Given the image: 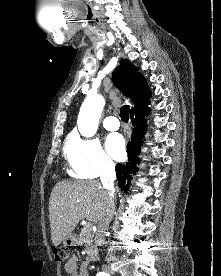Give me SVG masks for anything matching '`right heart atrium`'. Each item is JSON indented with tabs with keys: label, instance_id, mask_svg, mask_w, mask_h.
Here are the masks:
<instances>
[{
	"label": "right heart atrium",
	"instance_id": "obj_1",
	"mask_svg": "<svg viewBox=\"0 0 221 276\" xmlns=\"http://www.w3.org/2000/svg\"><path fill=\"white\" fill-rule=\"evenodd\" d=\"M66 157L71 174L76 178H96L114 170V163L95 139H72L68 144Z\"/></svg>",
	"mask_w": 221,
	"mask_h": 276
}]
</instances>
